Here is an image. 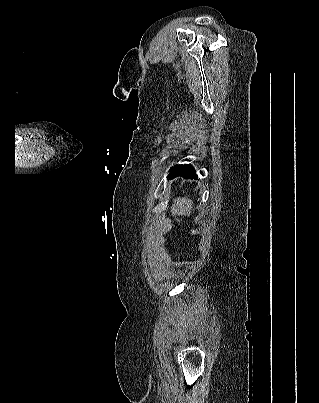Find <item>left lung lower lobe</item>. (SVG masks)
I'll use <instances>...</instances> for the list:
<instances>
[{"label": "left lung lower lobe", "mask_w": 319, "mask_h": 403, "mask_svg": "<svg viewBox=\"0 0 319 403\" xmlns=\"http://www.w3.org/2000/svg\"><path fill=\"white\" fill-rule=\"evenodd\" d=\"M181 176L183 178H197L194 168L190 164L175 165L170 169L169 177L175 178Z\"/></svg>", "instance_id": "1"}]
</instances>
